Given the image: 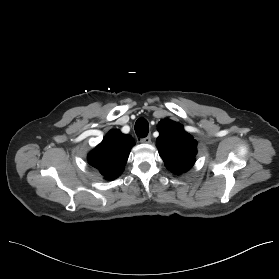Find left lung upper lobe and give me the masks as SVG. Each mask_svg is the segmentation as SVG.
Here are the masks:
<instances>
[{"instance_id": "obj_1", "label": "left lung upper lobe", "mask_w": 279, "mask_h": 279, "mask_svg": "<svg viewBox=\"0 0 279 279\" xmlns=\"http://www.w3.org/2000/svg\"><path fill=\"white\" fill-rule=\"evenodd\" d=\"M157 147L166 167L175 174L188 171L195 163L197 142L183 126L169 119L160 121Z\"/></svg>"}]
</instances>
